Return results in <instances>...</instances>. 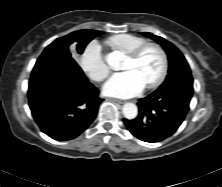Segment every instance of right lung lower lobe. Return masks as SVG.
I'll return each instance as SVG.
<instances>
[{
  "mask_svg": "<svg viewBox=\"0 0 222 187\" xmlns=\"http://www.w3.org/2000/svg\"><path fill=\"white\" fill-rule=\"evenodd\" d=\"M70 54L45 49L29 81L32 116L42 132L66 141L79 136L95 119L103 99Z\"/></svg>",
  "mask_w": 222,
  "mask_h": 187,
  "instance_id": "right-lung-lower-lobe-1",
  "label": "right lung lower lobe"
}]
</instances>
